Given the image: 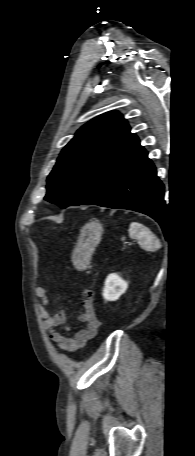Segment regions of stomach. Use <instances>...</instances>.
Returning <instances> with one entry per match:
<instances>
[{
	"label": "stomach",
	"mask_w": 195,
	"mask_h": 456,
	"mask_svg": "<svg viewBox=\"0 0 195 456\" xmlns=\"http://www.w3.org/2000/svg\"><path fill=\"white\" fill-rule=\"evenodd\" d=\"M102 234V224L97 220H91L82 227L72 254L77 269H85L90 264L91 256L99 244Z\"/></svg>",
	"instance_id": "obj_1"
}]
</instances>
